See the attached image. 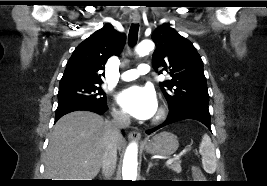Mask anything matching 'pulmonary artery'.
Masks as SVG:
<instances>
[{
    "instance_id": "e3ab8cb5",
    "label": "pulmonary artery",
    "mask_w": 267,
    "mask_h": 186,
    "mask_svg": "<svg viewBox=\"0 0 267 186\" xmlns=\"http://www.w3.org/2000/svg\"><path fill=\"white\" fill-rule=\"evenodd\" d=\"M150 66L148 64H140L136 69H130L121 74V79L124 81H131L138 78L139 75L148 74Z\"/></svg>"
}]
</instances>
